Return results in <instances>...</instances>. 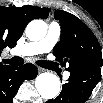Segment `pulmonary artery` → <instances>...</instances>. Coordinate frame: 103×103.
Segmentation results:
<instances>
[{
  "label": "pulmonary artery",
  "instance_id": "e3ab8cb5",
  "mask_svg": "<svg viewBox=\"0 0 103 103\" xmlns=\"http://www.w3.org/2000/svg\"><path fill=\"white\" fill-rule=\"evenodd\" d=\"M60 34L61 29L59 24L56 22H52L49 25L46 36L42 40L37 42H29L24 45H21L14 50V54L22 56H31L41 53H48L58 42ZM63 76L65 79H68L70 73L66 71Z\"/></svg>",
  "mask_w": 103,
  "mask_h": 103
}]
</instances>
